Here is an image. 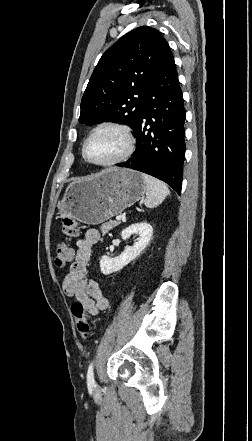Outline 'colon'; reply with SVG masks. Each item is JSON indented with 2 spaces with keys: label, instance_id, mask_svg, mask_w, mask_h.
Returning a JSON list of instances; mask_svg holds the SVG:
<instances>
[{
  "label": "colon",
  "instance_id": "obj_1",
  "mask_svg": "<svg viewBox=\"0 0 252 441\" xmlns=\"http://www.w3.org/2000/svg\"><path fill=\"white\" fill-rule=\"evenodd\" d=\"M63 232L68 238H75L79 235V226L72 219L66 218L63 224ZM72 259V248L66 243H58L56 246L55 257L56 266L65 267ZM71 311L76 320V326L79 334L86 339L89 335L90 325L83 304L76 299L71 306Z\"/></svg>",
  "mask_w": 252,
  "mask_h": 441
}]
</instances>
